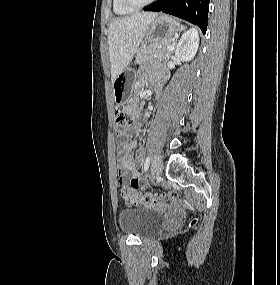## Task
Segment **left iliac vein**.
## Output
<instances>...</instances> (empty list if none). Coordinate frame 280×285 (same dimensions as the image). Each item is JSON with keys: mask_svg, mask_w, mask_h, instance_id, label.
<instances>
[{"mask_svg": "<svg viewBox=\"0 0 280 285\" xmlns=\"http://www.w3.org/2000/svg\"><path fill=\"white\" fill-rule=\"evenodd\" d=\"M162 169H163L162 157L158 154L154 157V161L151 168L152 180H155L161 175Z\"/></svg>", "mask_w": 280, "mask_h": 285, "instance_id": "obj_1", "label": "left iliac vein"}]
</instances>
